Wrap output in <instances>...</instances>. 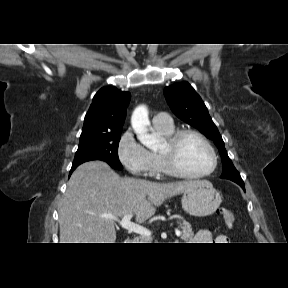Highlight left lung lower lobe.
<instances>
[{
	"mask_svg": "<svg viewBox=\"0 0 288 288\" xmlns=\"http://www.w3.org/2000/svg\"><path fill=\"white\" fill-rule=\"evenodd\" d=\"M244 190H245V186L244 185H240Z\"/></svg>",
	"mask_w": 288,
	"mask_h": 288,
	"instance_id": "0a47b994",
	"label": "left lung lower lobe"
}]
</instances>
